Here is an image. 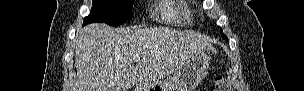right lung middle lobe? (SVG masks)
Listing matches in <instances>:
<instances>
[{
  "mask_svg": "<svg viewBox=\"0 0 304 91\" xmlns=\"http://www.w3.org/2000/svg\"><path fill=\"white\" fill-rule=\"evenodd\" d=\"M133 3L134 0H93V9L84 18V25L91 22L121 25L133 18Z\"/></svg>",
  "mask_w": 304,
  "mask_h": 91,
  "instance_id": "obj_1",
  "label": "right lung middle lobe"
}]
</instances>
